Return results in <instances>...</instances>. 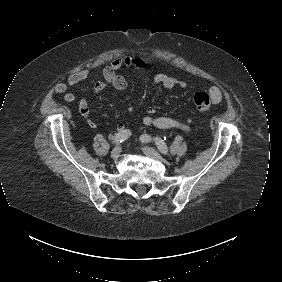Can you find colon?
Here are the masks:
<instances>
[{
    "label": "colon",
    "instance_id": "obj_1",
    "mask_svg": "<svg viewBox=\"0 0 282 282\" xmlns=\"http://www.w3.org/2000/svg\"><path fill=\"white\" fill-rule=\"evenodd\" d=\"M194 103L198 110L205 112L211 108V106L214 104V101L211 99L208 93L198 92L194 96Z\"/></svg>",
    "mask_w": 282,
    "mask_h": 282
}]
</instances>
